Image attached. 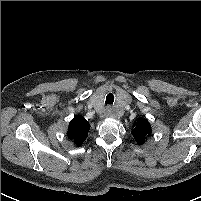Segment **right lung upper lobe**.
I'll list each match as a JSON object with an SVG mask.
<instances>
[{
    "instance_id": "cb5924a9",
    "label": "right lung upper lobe",
    "mask_w": 201,
    "mask_h": 201,
    "mask_svg": "<svg viewBox=\"0 0 201 201\" xmlns=\"http://www.w3.org/2000/svg\"><path fill=\"white\" fill-rule=\"evenodd\" d=\"M90 129L89 122L81 116L75 117L70 121L67 136L77 146H81L88 136Z\"/></svg>"
}]
</instances>
